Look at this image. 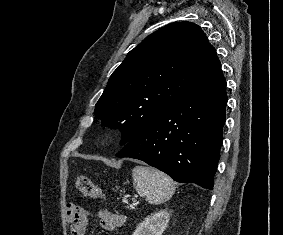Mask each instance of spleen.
I'll list each match as a JSON object with an SVG mask.
<instances>
[{"label":"spleen","instance_id":"spleen-1","mask_svg":"<svg viewBox=\"0 0 283 235\" xmlns=\"http://www.w3.org/2000/svg\"><path fill=\"white\" fill-rule=\"evenodd\" d=\"M132 177L136 192L152 205L168 201L176 189L172 178L155 168L136 166Z\"/></svg>","mask_w":283,"mask_h":235}]
</instances>
